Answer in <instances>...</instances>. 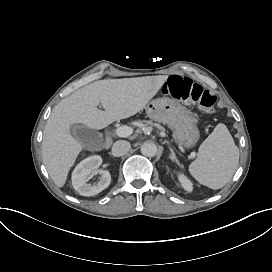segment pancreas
I'll return each instance as SVG.
<instances>
[{
  "mask_svg": "<svg viewBox=\"0 0 272 272\" xmlns=\"http://www.w3.org/2000/svg\"><path fill=\"white\" fill-rule=\"evenodd\" d=\"M143 122L145 123V125L155 126V127H157L159 130L165 131V128L162 127L160 124L153 123L152 121H141V123H143Z\"/></svg>",
  "mask_w": 272,
  "mask_h": 272,
  "instance_id": "cf45deb5",
  "label": "pancreas"
}]
</instances>
